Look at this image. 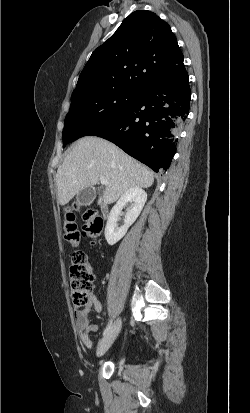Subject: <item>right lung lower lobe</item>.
<instances>
[{"label": "right lung lower lobe", "instance_id": "1", "mask_svg": "<svg viewBox=\"0 0 250 413\" xmlns=\"http://www.w3.org/2000/svg\"><path fill=\"white\" fill-rule=\"evenodd\" d=\"M188 79L185 74L176 81L163 80L143 87L129 107L88 135L113 142L155 172L166 171L189 113Z\"/></svg>", "mask_w": 250, "mask_h": 413}]
</instances>
